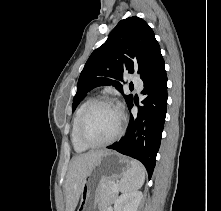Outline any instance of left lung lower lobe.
Masks as SVG:
<instances>
[{"mask_svg":"<svg viewBox=\"0 0 221 211\" xmlns=\"http://www.w3.org/2000/svg\"><path fill=\"white\" fill-rule=\"evenodd\" d=\"M140 78L144 82L141 92L143 106L138 107L136 116L131 114L126 135L108 148L142 162L150 179L160 147L167 106V75L160 51L154 55ZM132 107L133 100L128 105L129 110Z\"/></svg>","mask_w":221,"mask_h":211,"instance_id":"0a47b994","label":"left lung lower lobe"}]
</instances>
